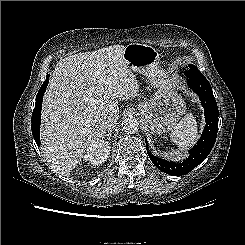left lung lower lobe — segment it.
Returning <instances> with one entry per match:
<instances>
[{
	"label": "left lung lower lobe",
	"instance_id": "0a47b994",
	"mask_svg": "<svg viewBox=\"0 0 245 245\" xmlns=\"http://www.w3.org/2000/svg\"><path fill=\"white\" fill-rule=\"evenodd\" d=\"M190 88L199 96L205 110L206 125L197 144L189 150V156L183 162L175 163L154 156L147 147V153L153 164L164 173L181 176L192 171L201 164L212 150L218 130V107L209 81L196 66H189L184 72ZM147 145V140H145Z\"/></svg>",
	"mask_w": 245,
	"mask_h": 245
}]
</instances>
